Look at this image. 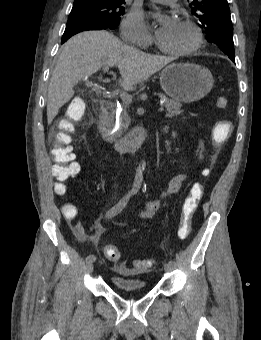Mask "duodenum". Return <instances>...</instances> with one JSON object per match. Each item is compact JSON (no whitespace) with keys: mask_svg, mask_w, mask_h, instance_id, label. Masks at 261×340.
Masks as SVG:
<instances>
[{"mask_svg":"<svg viewBox=\"0 0 261 340\" xmlns=\"http://www.w3.org/2000/svg\"><path fill=\"white\" fill-rule=\"evenodd\" d=\"M100 132L102 136L121 154L134 153L144 142L147 132L143 128H137L123 138L116 137L114 133L115 104L111 100H105L101 105Z\"/></svg>","mask_w":261,"mask_h":340,"instance_id":"1","label":"duodenum"}]
</instances>
